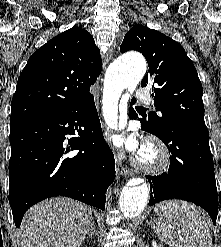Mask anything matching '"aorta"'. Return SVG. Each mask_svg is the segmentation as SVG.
I'll return each instance as SVG.
<instances>
[{
  "label": "aorta",
  "instance_id": "1",
  "mask_svg": "<svg viewBox=\"0 0 221 247\" xmlns=\"http://www.w3.org/2000/svg\"><path fill=\"white\" fill-rule=\"evenodd\" d=\"M147 64L139 53L127 54L111 63L106 71L103 90V114L107 124L117 127L118 101L124 88L133 90L146 73ZM149 197L146 183L124 187L119 208L125 218L138 216L145 208Z\"/></svg>",
  "mask_w": 221,
  "mask_h": 247
}]
</instances>
